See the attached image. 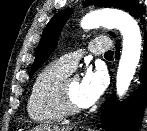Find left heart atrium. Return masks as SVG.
Segmentation results:
<instances>
[{"mask_svg":"<svg viewBox=\"0 0 147 131\" xmlns=\"http://www.w3.org/2000/svg\"><path fill=\"white\" fill-rule=\"evenodd\" d=\"M107 85L103 71L88 69L79 81L78 103L87 108L94 105L102 96Z\"/></svg>","mask_w":147,"mask_h":131,"instance_id":"39dd6f15","label":"left heart atrium"}]
</instances>
